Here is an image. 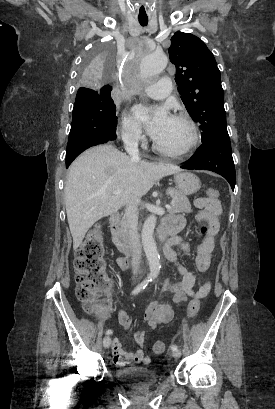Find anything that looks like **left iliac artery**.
I'll list each match as a JSON object with an SVG mask.
<instances>
[{
	"instance_id": "1",
	"label": "left iliac artery",
	"mask_w": 275,
	"mask_h": 409,
	"mask_svg": "<svg viewBox=\"0 0 275 409\" xmlns=\"http://www.w3.org/2000/svg\"><path fill=\"white\" fill-rule=\"evenodd\" d=\"M177 349H178L177 345H175V344L171 345V350L172 351L177 350Z\"/></svg>"
}]
</instances>
